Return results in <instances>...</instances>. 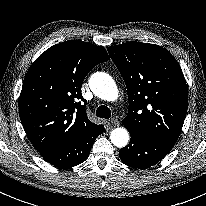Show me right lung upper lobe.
Masks as SVG:
<instances>
[{
    "instance_id": "1",
    "label": "right lung upper lobe",
    "mask_w": 206,
    "mask_h": 206,
    "mask_svg": "<svg viewBox=\"0 0 206 206\" xmlns=\"http://www.w3.org/2000/svg\"><path fill=\"white\" fill-rule=\"evenodd\" d=\"M107 60L103 47L71 40L50 47L31 65L19 114L38 152L64 148L100 126L87 117L81 86L88 72Z\"/></svg>"
}]
</instances>
